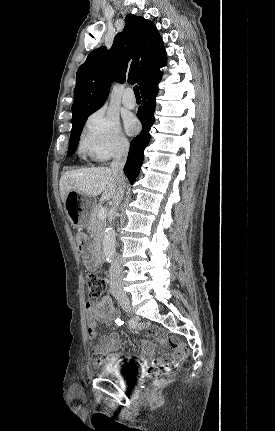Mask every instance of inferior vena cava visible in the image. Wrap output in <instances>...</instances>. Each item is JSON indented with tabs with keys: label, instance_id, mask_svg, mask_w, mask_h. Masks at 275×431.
Here are the masks:
<instances>
[{
	"label": "inferior vena cava",
	"instance_id": "602c4592",
	"mask_svg": "<svg viewBox=\"0 0 275 431\" xmlns=\"http://www.w3.org/2000/svg\"><path fill=\"white\" fill-rule=\"evenodd\" d=\"M129 145L124 143L118 147L113 155L111 170L113 176L119 182V188L113 198V211H115L123 199L125 189V178L123 168L127 159ZM123 268L119 258H116L111 264L110 287L111 290H122Z\"/></svg>",
	"mask_w": 275,
	"mask_h": 431
}]
</instances>
